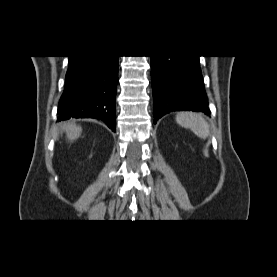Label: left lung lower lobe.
<instances>
[{
  "mask_svg": "<svg viewBox=\"0 0 277 277\" xmlns=\"http://www.w3.org/2000/svg\"><path fill=\"white\" fill-rule=\"evenodd\" d=\"M154 123L171 111L210 114L199 56H151Z\"/></svg>",
  "mask_w": 277,
  "mask_h": 277,
  "instance_id": "1",
  "label": "left lung lower lobe"
}]
</instances>
